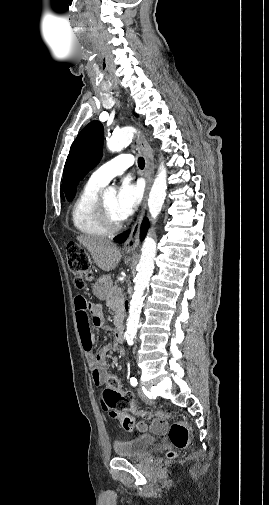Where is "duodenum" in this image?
I'll return each instance as SVG.
<instances>
[{"instance_id":"duodenum-1","label":"duodenum","mask_w":269,"mask_h":505,"mask_svg":"<svg viewBox=\"0 0 269 505\" xmlns=\"http://www.w3.org/2000/svg\"><path fill=\"white\" fill-rule=\"evenodd\" d=\"M114 335H115V339L118 343H122L123 341V336H124V324L119 321L116 326H115V329H114Z\"/></svg>"}]
</instances>
